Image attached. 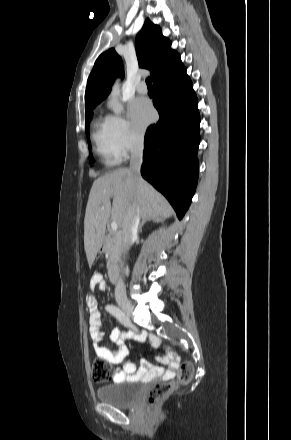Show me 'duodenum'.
I'll list each match as a JSON object with an SVG mask.
<instances>
[{"label": "duodenum", "instance_id": "410a0bca", "mask_svg": "<svg viewBox=\"0 0 291 440\" xmlns=\"http://www.w3.org/2000/svg\"><path fill=\"white\" fill-rule=\"evenodd\" d=\"M108 276L113 283L118 281V271L115 265H111L108 270Z\"/></svg>", "mask_w": 291, "mask_h": 440}]
</instances>
